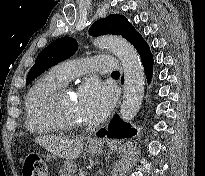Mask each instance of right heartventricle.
Wrapping results in <instances>:
<instances>
[{"instance_id": "obj_1", "label": "right heart ventricle", "mask_w": 205, "mask_h": 176, "mask_svg": "<svg viewBox=\"0 0 205 176\" xmlns=\"http://www.w3.org/2000/svg\"><path fill=\"white\" fill-rule=\"evenodd\" d=\"M61 81L53 72L39 78L25 97L24 107L26 128L32 134H48L57 131L56 125L45 112L47 97L56 89L63 87Z\"/></svg>"}]
</instances>
